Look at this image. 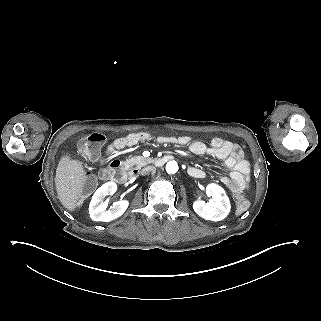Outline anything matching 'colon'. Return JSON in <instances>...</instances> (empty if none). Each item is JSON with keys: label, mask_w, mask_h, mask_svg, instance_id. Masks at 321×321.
I'll return each instance as SVG.
<instances>
[{"label": "colon", "mask_w": 321, "mask_h": 321, "mask_svg": "<svg viewBox=\"0 0 321 321\" xmlns=\"http://www.w3.org/2000/svg\"><path fill=\"white\" fill-rule=\"evenodd\" d=\"M106 141V136L101 133H91L84 137L79 145H78V151L80 154L89 157V158H96L100 150L103 146V144ZM94 185L93 179H88L86 182V187L88 189L92 188ZM235 205H236V211L237 213H242L245 211L249 206L248 199L243 196L242 194L238 193L235 197Z\"/></svg>", "instance_id": "colon-1"}]
</instances>
